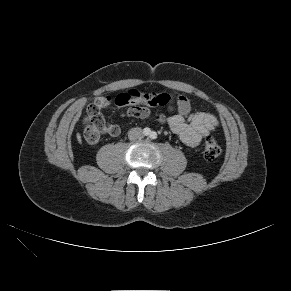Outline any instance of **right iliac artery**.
I'll use <instances>...</instances> for the list:
<instances>
[{"instance_id":"1","label":"right iliac artery","mask_w":291,"mask_h":291,"mask_svg":"<svg viewBox=\"0 0 291 291\" xmlns=\"http://www.w3.org/2000/svg\"><path fill=\"white\" fill-rule=\"evenodd\" d=\"M150 128H145L144 130H143V133L145 134V135H149L150 134Z\"/></svg>"}]
</instances>
